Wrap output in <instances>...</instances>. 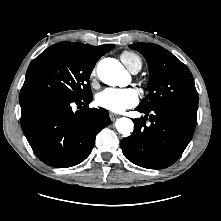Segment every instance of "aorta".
I'll return each instance as SVG.
<instances>
[{"label": "aorta", "instance_id": "obj_1", "mask_svg": "<svg viewBox=\"0 0 221 221\" xmlns=\"http://www.w3.org/2000/svg\"><path fill=\"white\" fill-rule=\"evenodd\" d=\"M126 73L123 66L117 60L111 58L101 60L97 66V74L100 80L111 86L120 85ZM115 127L120 134L128 136L133 130V122L131 119L123 117L117 119Z\"/></svg>", "mask_w": 221, "mask_h": 221}]
</instances>
